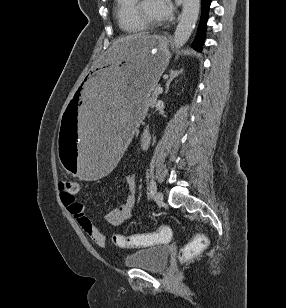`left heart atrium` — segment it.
<instances>
[{
	"label": "left heart atrium",
	"mask_w": 286,
	"mask_h": 308,
	"mask_svg": "<svg viewBox=\"0 0 286 308\" xmlns=\"http://www.w3.org/2000/svg\"><path fill=\"white\" fill-rule=\"evenodd\" d=\"M162 19L168 18L173 10L170 0H154Z\"/></svg>",
	"instance_id": "1"
}]
</instances>
